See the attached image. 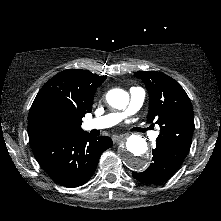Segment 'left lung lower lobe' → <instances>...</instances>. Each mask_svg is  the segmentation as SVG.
<instances>
[{
  "label": "left lung lower lobe",
  "instance_id": "obj_1",
  "mask_svg": "<svg viewBox=\"0 0 221 221\" xmlns=\"http://www.w3.org/2000/svg\"><path fill=\"white\" fill-rule=\"evenodd\" d=\"M153 158L152 163L142 173L133 172L132 176L146 184H157L161 183L170 178L180 166L174 163L170 157L162 151L160 148L152 150Z\"/></svg>",
  "mask_w": 221,
  "mask_h": 221
}]
</instances>
